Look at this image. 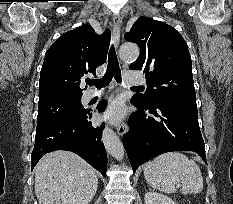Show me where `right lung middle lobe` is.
<instances>
[{
  "instance_id": "right-lung-middle-lobe-1",
  "label": "right lung middle lobe",
  "mask_w": 233,
  "mask_h": 204,
  "mask_svg": "<svg viewBox=\"0 0 233 204\" xmlns=\"http://www.w3.org/2000/svg\"><path fill=\"white\" fill-rule=\"evenodd\" d=\"M80 100L81 96H66L39 102L36 131L84 111Z\"/></svg>"
}]
</instances>
